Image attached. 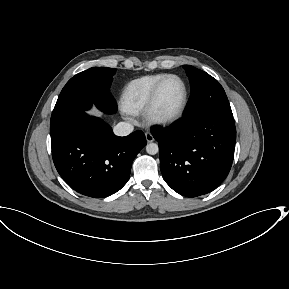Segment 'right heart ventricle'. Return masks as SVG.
I'll use <instances>...</instances> for the list:
<instances>
[{"instance_id":"obj_1","label":"right heart ventricle","mask_w":289,"mask_h":289,"mask_svg":"<svg viewBox=\"0 0 289 289\" xmlns=\"http://www.w3.org/2000/svg\"><path fill=\"white\" fill-rule=\"evenodd\" d=\"M166 75L168 74H151L130 81L121 95L122 109L133 115L144 112L154 87Z\"/></svg>"}]
</instances>
